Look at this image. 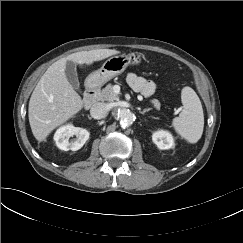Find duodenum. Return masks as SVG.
Returning a JSON list of instances; mask_svg holds the SVG:
<instances>
[{
	"label": "duodenum",
	"mask_w": 243,
	"mask_h": 243,
	"mask_svg": "<svg viewBox=\"0 0 243 243\" xmlns=\"http://www.w3.org/2000/svg\"><path fill=\"white\" fill-rule=\"evenodd\" d=\"M99 88L95 84H89L84 94V105L86 109L94 106L98 100Z\"/></svg>",
	"instance_id": "duodenum-1"
}]
</instances>
